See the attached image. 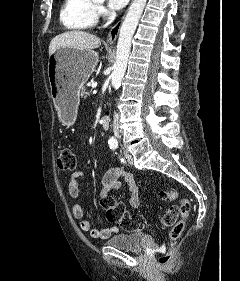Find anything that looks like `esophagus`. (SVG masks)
Returning <instances> with one entry per match:
<instances>
[{"label": "esophagus", "instance_id": "1", "mask_svg": "<svg viewBox=\"0 0 240 281\" xmlns=\"http://www.w3.org/2000/svg\"><path fill=\"white\" fill-rule=\"evenodd\" d=\"M123 19H124V16L111 28V30L108 34V37H107L108 44L111 45L116 41L120 28H121V25H122V22H123Z\"/></svg>", "mask_w": 240, "mask_h": 281}]
</instances>
